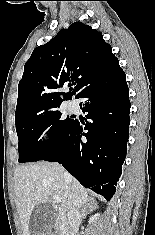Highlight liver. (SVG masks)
Masks as SVG:
<instances>
[{
    "mask_svg": "<svg viewBox=\"0 0 155 235\" xmlns=\"http://www.w3.org/2000/svg\"><path fill=\"white\" fill-rule=\"evenodd\" d=\"M15 195L23 235H30V217L40 203L58 195V220L66 222L71 207L81 208L91 199L87 190L57 163L37 162L18 166L14 172Z\"/></svg>",
    "mask_w": 155,
    "mask_h": 235,
    "instance_id": "6515ba94",
    "label": "liver"
}]
</instances>
